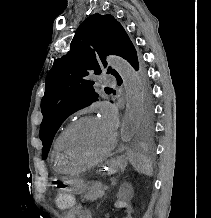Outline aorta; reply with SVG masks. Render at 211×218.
<instances>
[{"instance_id": "762f6f07", "label": "aorta", "mask_w": 211, "mask_h": 218, "mask_svg": "<svg viewBox=\"0 0 211 218\" xmlns=\"http://www.w3.org/2000/svg\"><path fill=\"white\" fill-rule=\"evenodd\" d=\"M107 61L123 80L126 94V111L120 135L123 142H128L139 127L142 109L141 85L136 72L127 61L118 56H109Z\"/></svg>"}]
</instances>
